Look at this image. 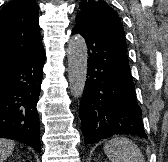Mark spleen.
Wrapping results in <instances>:
<instances>
[{
	"label": "spleen",
	"mask_w": 168,
	"mask_h": 162,
	"mask_svg": "<svg viewBox=\"0 0 168 162\" xmlns=\"http://www.w3.org/2000/svg\"><path fill=\"white\" fill-rule=\"evenodd\" d=\"M104 152L111 162H145L139 147L125 137H116L104 145Z\"/></svg>",
	"instance_id": "1"
}]
</instances>
